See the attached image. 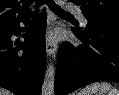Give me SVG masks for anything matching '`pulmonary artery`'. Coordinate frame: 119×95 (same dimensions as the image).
Returning a JSON list of instances; mask_svg holds the SVG:
<instances>
[{"label": "pulmonary artery", "mask_w": 119, "mask_h": 95, "mask_svg": "<svg viewBox=\"0 0 119 95\" xmlns=\"http://www.w3.org/2000/svg\"><path fill=\"white\" fill-rule=\"evenodd\" d=\"M69 9L78 15V17L80 18L81 22H82L84 25L87 24V20H86V18L84 17V15L82 14V12L80 11L79 8L74 7V6H70Z\"/></svg>", "instance_id": "e3ab8cb5"}]
</instances>
